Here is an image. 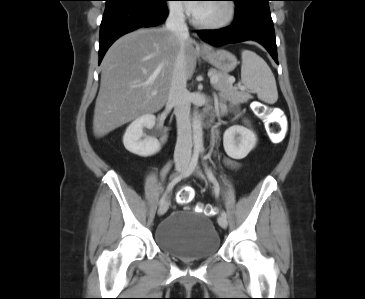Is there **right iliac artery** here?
<instances>
[{"label":"right iliac artery","instance_id":"right-iliac-artery-1","mask_svg":"<svg viewBox=\"0 0 365 299\" xmlns=\"http://www.w3.org/2000/svg\"><path fill=\"white\" fill-rule=\"evenodd\" d=\"M198 159H199V150L195 149L193 151V155H192V158H191V161L189 163V166L188 168L183 172L181 173L180 175L176 176L167 186V189L164 193V195L161 197L160 199V204H162L166 197H167V194L169 192L172 191L173 187L179 182L181 181L183 178H186L188 176H190L192 174V172L194 171V169L196 168L197 164H198Z\"/></svg>","mask_w":365,"mask_h":299}]
</instances>
